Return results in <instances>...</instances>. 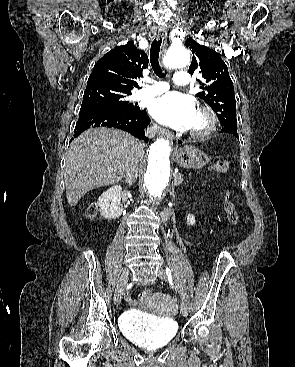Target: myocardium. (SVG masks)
<instances>
[{
    "mask_svg": "<svg viewBox=\"0 0 295 367\" xmlns=\"http://www.w3.org/2000/svg\"><path fill=\"white\" fill-rule=\"evenodd\" d=\"M197 115L204 119V127L201 129H190L189 136L196 140L209 138L217 128V117L215 113L208 107H200L197 110Z\"/></svg>",
    "mask_w": 295,
    "mask_h": 367,
    "instance_id": "f54148a6",
    "label": "myocardium"
}]
</instances>
